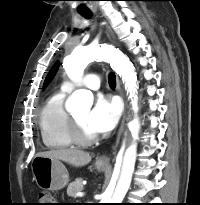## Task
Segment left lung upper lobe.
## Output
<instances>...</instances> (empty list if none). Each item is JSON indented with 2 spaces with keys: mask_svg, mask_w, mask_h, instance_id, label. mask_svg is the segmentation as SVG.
I'll return each instance as SVG.
<instances>
[{
  "mask_svg": "<svg viewBox=\"0 0 200 205\" xmlns=\"http://www.w3.org/2000/svg\"><path fill=\"white\" fill-rule=\"evenodd\" d=\"M58 69V64H56L48 73L45 82H44V87H46L48 85V83L52 80V78L54 77V75L56 74V71Z\"/></svg>",
  "mask_w": 200,
  "mask_h": 205,
  "instance_id": "5c2ea615",
  "label": "left lung upper lobe"
}]
</instances>
